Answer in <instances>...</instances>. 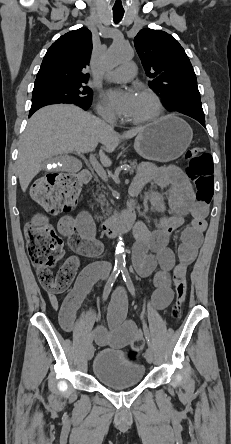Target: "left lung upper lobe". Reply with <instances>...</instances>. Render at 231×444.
I'll return each mask as SVG.
<instances>
[{
    "mask_svg": "<svg viewBox=\"0 0 231 444\" xmlns=\"http://www.w3.org/2000/svg\"><path fill=\"white\" fill-rule=\"evenodd\" d=\"M149 86L160 93L171 111L204 118L197 79L183 47L170 34L142 29L134 38Z\"/></svg>",
    "mask_w": 231,
    "mask_h": 444,
    "instance_id": "obj_1",
    "label": "left lung upper lobe"
}]
</instances>
